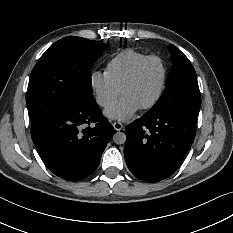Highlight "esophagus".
I'll return each instance as SVG.
<instances>
[{"label":"esophagus","mask_w":233,"mask_h":233,"mask_svg":"<svg viewBox=\"0 0 233 233\" xmlns=\"http://www.w3.org/2000/svg\"><path fill=\"white\" fill-rule=\"evenodd\" d=\"M113 127H114V129H115L116 131H120V130L123 129V124L120 123V122H114V123H113Z\"/></svg>","instance_id":"34e87169"}]
</instances>
